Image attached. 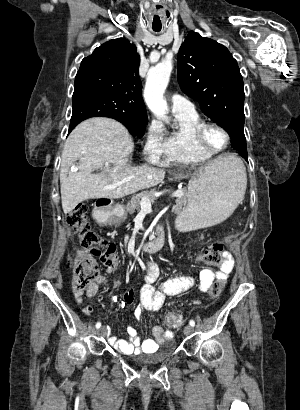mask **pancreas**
Here are the masks:
<instances>
[{
	"label": "pancreas",
	"mask_w": 300,
	"mask_h": 410,
	"mask_svg": "<svg viewBox=\"0 0 300 410\" xmlns=\"http://www.w3.org/2000/svg\"><path fill=\"white\" fill-rule=\"evenodd\" d=\"M183 191V195L176 199V205L173 206V211L175 213H180L183 206L187 203V191L185 189H181ZM142 197H147L150 202L155 201L154 192H143L133 196L130 202L127 204L126 209L127 211L133 213L135 209H139L141 206V199Z\"/></svg>",
	"instance_id": "cf45deb5"
}]
</instances>
